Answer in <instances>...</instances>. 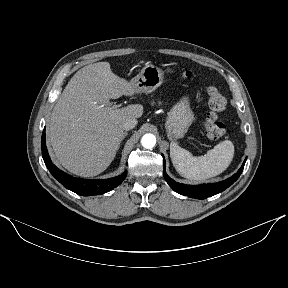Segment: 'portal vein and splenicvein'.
Segmentation results:
<instances>
[{
  "mask_svg": "<svg viewBox=\"0 0 288 288\" xmlns=\"http://www.w3.org/2000/svg\"><path fill=\"white\" fill-rule=\"evenodd\" d=\"M117 107H118L117 105L112 106L113 109H116Z\"/></svg>",
  "mask_w": 288,
  "mask_h": 288,
  "instance_id": "1",
  "label": "portal vein and splenic vein"
}]
</instances>
